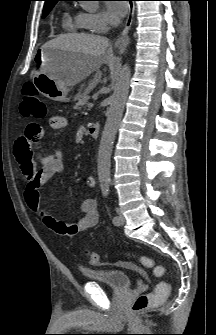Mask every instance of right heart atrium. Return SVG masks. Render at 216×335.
<instances>
[{"label": "right heart atrium", "mask_w": 216, "mask_h": 335, "mask_svg": "<svg viewBox=\"0 0 216 335\" xmlns=\"http://www.w3.org/2000/svg\"><path fill=\"white\" fill-rule=\"evenodd\" d=\"M85 17L92 30L97 32H104L108 28V17L105 13H85Z\"/></svg>", "instance_id": "1"}]
</instances>
